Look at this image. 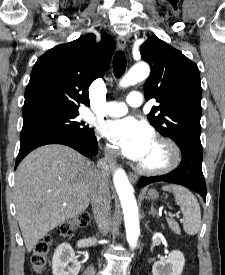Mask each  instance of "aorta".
I'll return each mask as SVG.
<instances>
[{"mask_svg":"<svg viewBox=\"0 0 225 275\" xmlns=\"http://www.w3.org/2000/svg\"><path fill=\"white\" fill-rule=\"evenodd\" d=\"M149 74V66L146 63H138L134 65L120 80L119 86L128 87L134 85L137 82L146 79ZM113 182L123 210L126 238L129 246L133 249L135 248L140 235L139 213L134 196V189L122 168H117L114 171Z\"/></svg>","mask_w":225,"mask_h":275,"instance_id":"1","label":"aorta"}]
</instances>
